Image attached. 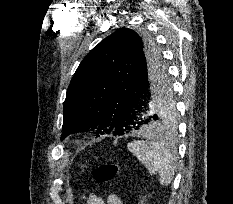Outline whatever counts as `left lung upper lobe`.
I'll return each instance as SVG.
<instances>
[{
  "mask_svg": "<svg viewBox=\"0 0 233 204\" xmlns=\"http://www.w3.org/2000/svg\"><path fill=\"white\" fill-rule=\"evenodd\" d=\"M144 56L161 58L154 41L146 33L138 34L129 28L118 29L88 53L66 93L61 140L77 132L96 136L124 134L123 128L115 123L117 109ZM154 114L159 131L170 132L176 128L177 111L170 83L158 98Z\"/></svg>",
  "mask_w": 233,
  "mask_h": 204,
  "instance_id": "left-lung-upper-lobe-1",
  "label": "left lung upper lobe"
}]
</instances>
